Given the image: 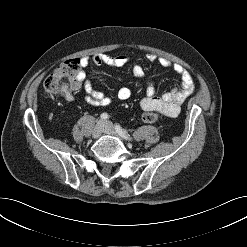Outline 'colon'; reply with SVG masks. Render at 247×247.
Returning a JSON list of instances; mask_svg holds the SVG:
<instances>
[{"label": "colon", "instance_id": "colon-1", "mask_svg": "<svg viewBox=\"0 0 247 247\" xmlns=\"http://www.w3.org/2000/svg\"><path fill=\"white\" fill-rule=\"evenodd\" d=\"M80 63L78 59H70L61 64L44 82V92L49 97L67 96L77 88L79 82ZM162 118L159 111H147L140 115L144 123H155Z\"/></svg>", "mask_w": 247, "mask_h": 247}]
</instances>
